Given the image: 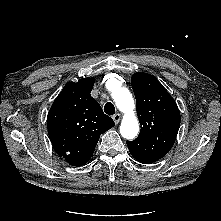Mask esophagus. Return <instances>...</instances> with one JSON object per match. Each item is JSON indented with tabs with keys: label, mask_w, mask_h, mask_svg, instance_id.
I'll use <instances>...</instances> for the list:
<instances>
[{
	"label": "esophagus",
	"mask_w": 221,
	"mask_h": 221,
	"mask_svg": "<svg viewBox=\"0 0 221 221\" xmlns=\"http://www.w3.org/2000/svg\"><path fill=\"white\" fill-rule=\"evenodd\" d=\"M112 118H113L114 122L116 124H118L120 122V120H121V114L117 113V114L113 115Z\"/></svg>",
	"instance_id": "34e87169"
}]
</instances>
